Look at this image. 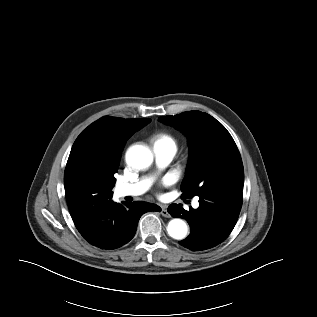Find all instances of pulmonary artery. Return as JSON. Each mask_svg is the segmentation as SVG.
Wrapping results in <instances>:
<instances>
[{
	"label": "pulmonary artery",
	"mask_w": 317,
	"mask_h": 317,
	"mask_svg": "<svg viewBox=\"0 0 317 317\" xmlns=\"http://www.w3.org/2000/svg\"><path fill=\"white\" fill-rule=\"evenodd\" d=\"M175 153L176 150L173 148L154 145L156 162L161 167L167 165L173 159ZM151 182V179L143 178L134 183L119 184L116 187V195L118 197L139 196L148 190ZM193 206L195 208L199 206L197 200L193 201Z\"/></svg>",
	"instance_id": "1"
}]
</instances>
